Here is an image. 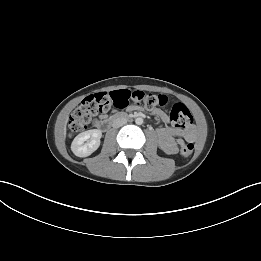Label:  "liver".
Returning <instances> with one entry per match:
<instances>
[{
    "label": "liver",
    "mask_w": 261,
    "mask_h": 261,
    "mask_svg": "<svg viewBox=\"0 0 261 261\" xmlns=\"http://www.w3.org/2000/svg\"><path fill=\"white\" fill-rule=\"evenodd\" d=\"M63 134H64V137H65V135H66V125L64 126V132H63Z\"/></svg>",
    "instance_id": "6515ba94"
}]
</instances>
